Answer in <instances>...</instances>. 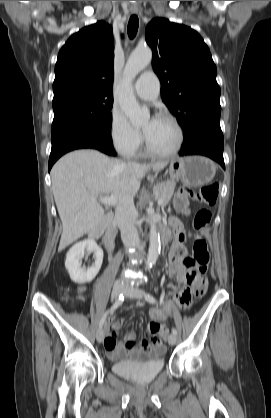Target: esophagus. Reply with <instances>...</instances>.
I'll return each mask as SVG.
<instances>
[{"label":"esophagus","mask_w":271,"mask_h":418,"mask_svg":"<svg viewBox=\"0 0 271 418\" xmlns=\"http://www.w3.org/2000/svg\"><path fill=\"white\" fill-rule=\"evenodd\" d=\"M130 11L132 14H137L138 13V8L137 7H132L130 8Z\"/></svg>","instance_id":"34e87169"}]
</instances>
